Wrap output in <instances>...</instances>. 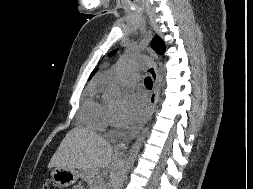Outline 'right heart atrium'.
Segmentation results:
<instances>
[{"instance_id":"right-heart-atrium-1","label":"right heart atrium","mask_w":253,"mask_h":189,"mask_svg":"<svg viewBox=\"0 0 253 189\" xmlns=\"http://www.w3.org/2000/svg\"><path fill=\"white\" fill-rule=\"evenodd\" d=\"M108 125L112 127H116L119 125V116L112 111L109 112Z\"/></svg>"}]
</instances>
